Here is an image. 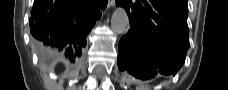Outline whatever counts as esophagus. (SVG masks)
<instances>
[{"label": "esophagus", "instance_id": "esophagus-1", "mask_svg": "<svg viewBox=\"0 0 228 90\" xmlns=\"http://www.w3.org/2000/svg\"><path fill=\"white\" fill-rule=\"evenodd\" d=\"M115 5V0H108V8H111Z\"/></svg>", "mask_w": 228, "mask_h": 90}]
</instances>
